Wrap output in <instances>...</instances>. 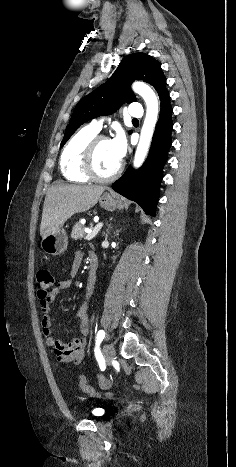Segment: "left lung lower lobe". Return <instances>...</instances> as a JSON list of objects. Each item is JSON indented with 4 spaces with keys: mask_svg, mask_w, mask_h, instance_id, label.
Masks as SVG:
<instances>
[{
    "mask_svg": "<svg viewBox=\"0 0 236 467\" xmlns=\"http://www.w3.org/2000/svg\"><path fill=\"white\" fill-rule=\"evenodd\" d=\"M161 109L148 158L138 171L129 167L112 184L113 190L138 203L148 215L155 216L163 166L171 145L172 107L165 89L160 95Z\"/></svg>",
    "mask_w": 236,
    "mask_h": 467,
    "instance_id": "1",
    "label": "left lung lower lobe"
}]
</instances>
